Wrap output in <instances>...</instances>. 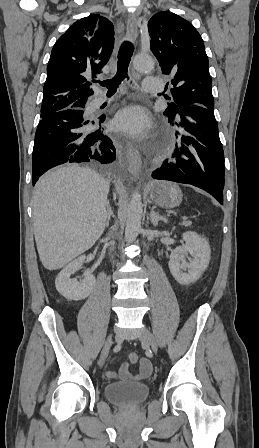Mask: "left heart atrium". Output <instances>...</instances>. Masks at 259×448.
Masks as SVG:
<instances>
[{
	"mask_svg": "<svg viewBox=\"0 0 259 448\" xmlns=\"http://www.w3.org/2000/svg\"><path fill=\"white\" fill-rule=\"evenodd\" d=\"M116 130L142 138L150 130L151 122L147 110L140 105H131L121 110L115 117Z\"/></svg>",
	"mask_w": 259,
	"mask_h": 448,
	"instance_id": "39dd6f15",
	"label": "left heart atrium"
}]
</instances>
